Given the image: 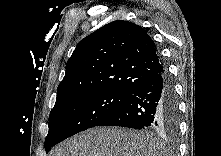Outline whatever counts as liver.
I'll use <instances>...</instances> for the list:
<instances>
[{
    "mask_svg": "<svg viewBox=\"0 0 221 156\" xmlns=\"http://www.w3.org/2000/svg\"><path fill=\"white\" fill-rule=\"evenodd\" d=\"M165 151V144L148 132L95 127L60 143L50 156H164Z\"/></svg>",
    "mask_w": 221,
    "mask_h": 156,
    "instance_id": "obj_1",
    "label": "liver"
}]
</instances>
